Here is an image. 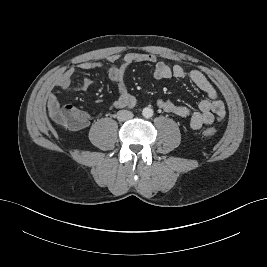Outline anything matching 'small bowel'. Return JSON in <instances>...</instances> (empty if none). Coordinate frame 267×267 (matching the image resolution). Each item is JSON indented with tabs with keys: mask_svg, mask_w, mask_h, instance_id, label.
Masks as SVG:
<instances>
[{
	"mask_svg": "<svg viewBox=\"0 0 267 267\" xmlns=\"http://www.w3.org/2000/svg\"><path fill=\"white\" fill-rule=\"evenodd\" d=\"M147 62L154 65V77L158 80L164 79H188L196 88L207 95V99L200 102L197 110L185 105H178L172 101L158 99L157 106L166 113L180 118H189L190 127L198 130L204 125L212 124L215 120L221 121L225 118L226 110L224 103L220 99L216 89L198 70L186 72L180 65L169 66L160 61L156 55L143 52H129L124 55L110 54L94 61H85L78 64L81 70H90L108 66V75L117 85V95L112 103L113 108L133 107L136 104V98L128 92L125 83V74L127 68L133 63ZM75 69L69 68L54 80L53 86L66 91H85L88 90L93 81L91 78H85L81 83L74 84L73 79ZM47 104L49 115L55 119L61 110L55 95L52 92L47 93ZM82 118L80 128L88 126L89 120L86 112L74 109Z\"/></svg>",
	"mask_w": 267,
	"mask_h": 267,
	"instance_id": "small-bowel-1",
	"label": "small bowel"
}]
</instances>
